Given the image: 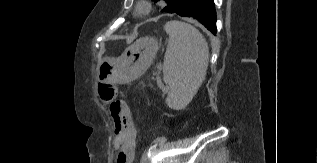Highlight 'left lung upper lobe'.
<instances>
[{
    "label": "left lung upper lobe",
    "mask_w": 317,
    "mask_h": 163,
    "mask_svg": "<svg viewBox=\"0 0 317 163\" xmlns=\"http://www.w3.org/2000/svg\"><path fill=\"white\" fill-rule=\"evenodd\" d=\"M154 1H158V0H154ZM164 1L167 2V6L164 7L162 11L173 13L177 9V7L179 6L182 0H164Z\"/></svg>",
    "instance_id": "obj_1"
}]
</instances>
